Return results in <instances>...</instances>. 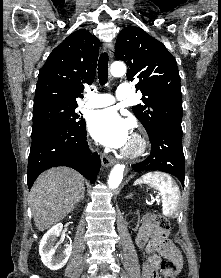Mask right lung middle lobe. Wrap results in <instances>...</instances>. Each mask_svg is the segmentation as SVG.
<instances>
[{
  "label": "right lung middle lobe",
  "mask_w": 221,
  "mask_h": 278,
  "mask_svg": "<svg viewBox=\"0 0 221 278\" xmlns=\"http://www.w3.org/2000/svg\"><path fill=\"white\" fill-rule=\"evenodd\" d=\"M77 104L47 102L34 106L31 137L54 129L72 130L84 125V119L75 111Z\"/></svg>",
  "instance_id": "1"
}]
</instances>
